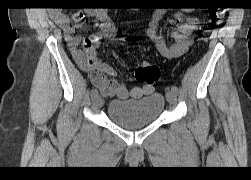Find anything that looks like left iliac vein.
I'll return each instance as SVG.
<instances>
[{
	"instance_id": "left-iliac-vein-1",
	"label": "left iliac vein",
	"mask_w": 251,
	"mask_h": 180,
	"mask_svg": "<svg viewBox=\"0 0 251 180\" xmlns=\"http://www.w3.org/2000/svg\"><path fill=\"white\" fill-rule=\"evenodd\" d=\"M166 98H167V101H168L170 104H175V103H176L177 96H176V93L173 92L172 90H171V91H167V93H166Z\"/></svg>"
}]
</instances>
